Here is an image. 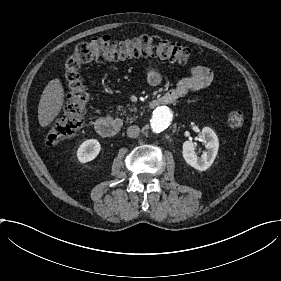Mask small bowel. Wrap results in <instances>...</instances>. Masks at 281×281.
Listing matches in <instances>:
<instances>
[{"instance_id": "1", "label": "small bowel", "mask_w": 281, "mask_h": 281, "mask_svg": "<svg viewBox=\"0 0 281 281\" xmlns=\"http://www.w3.org/2000/svg\"><path fill=\"white\" fill-rule=\"evenodd\" d=\"M146 79L151 87H156L161 82L160 72L153 66H147L145 69ZM212 80V73L209 69L201 66H194L191 70V76L180 80L175 87L166 96H155L158 106L166 101L171 103L177 99H182L193 90L206 88ZM153 107V106H151Z\"/></svg>"}]
</instances>
